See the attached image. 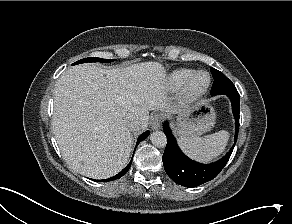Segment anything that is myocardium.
<instances>
[{"label":"myocardium","instance_id":"obj_1","mask_svg":"<svg viewBox=\"0 0 292 224\" xmlns=\"http://www.w3.org/2000/svg\"><path fill=\"white\" fill-rule=\"evenodd\" d=\"M201 74H206L208 77V80H207V83L203 87L198 88L195 86V81L198 78V76ZM210 85H211L210 73L207 71H196L183 86L182 95L184 99L187 101L195 100L199 98L200 96L204 95L208 91Z\"/></svg>","mask_w":292,"mask_h":224}]
</instances>
